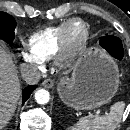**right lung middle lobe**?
I'll return each instance as SVG.
<instances>
[{"label": "right lung middle lobe", "instance_id": "obj_1", "mask_svg": "<svg viewBox=\"0 0 130 130\" xmlns=\"http://www.w3.org/2000/svg\"><path fill=\"white\" fill-rule=\"evenodd\" d=\"M15 27V19L5 12H0V39L9 44L13 43Z\"/></svg>", "mask_w": 130, "mask_h": 130}]
</instances>
